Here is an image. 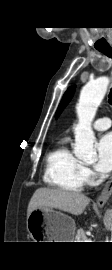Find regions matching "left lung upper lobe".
<instances>
[{
    "label": "left lung upper lobe",
    "mask_w": 112,
    "mask_h": 270,
    "mask_svg": "<svg viewBox=\"0 0 112 270\" xmlns=\"http://www.w3.org/2000/svg\"><path fill=\"white\" fill-rule=\"evenodd\" d=\"M74 86H71L70 88H68V90L65 92L61 103L57 109L56 112V118L59 116V114L61 113V111L63 110V108L65 107V105L71 100L73 93H74Z\"/></svg>",
    "instance_id": "left-lung-upper-lobe-1"
}]
</instances>
